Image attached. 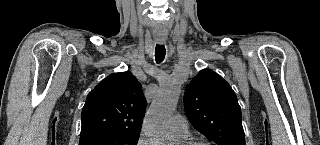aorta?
I'll use <instances>...</instances> for the list:
<instances>
[{
	"label": "aorta",
	"mask_w": 320,
	"mask_h": 145,
	"mask_svg": "<svg viewBox=\"0 0 320 145\" xmlns=\"http://www.w3.org/2000/svg\"><path fill=\"white\" fill-rule=\"evenodd\" d=\"M179 95L180 83L169 78L152 101L143 124V131L152 145H173L168 123Z\"/></svg>",
	"instance_id": "762f6f07"
}]
</instances>
